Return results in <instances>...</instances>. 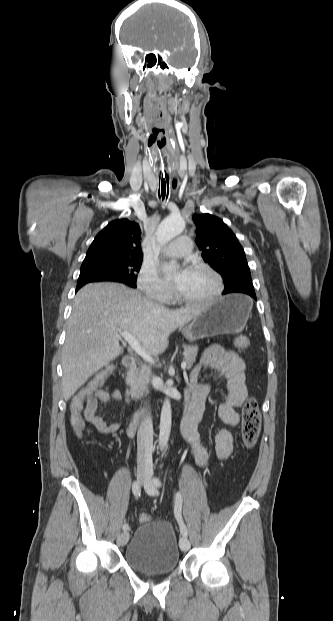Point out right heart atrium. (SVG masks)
<instances>
[{"label":"right heart atrium","mask_w":333,"mask_h":621,"mask_svg":"<svg viewBox=\"0 0 333 621\" xmlns=\"http://www.w3.org/2000/svg\"><path fill=\"white\" fill-rule=\"evenodd\" d=\"M137 285L147 297L157 302L167 303L172 298L171 287L160 278L157 270L152 266H142Z\"/></svg>","instance_id":"right-heart-atrium-1"}]
</instances>
